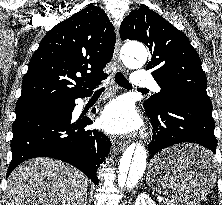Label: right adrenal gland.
I'll list each match as a JSON object with an SVG mask.
<instances>
[{
    "instance_id": "obj_1",
    "label": "right adrenal gland",
    "mask_w": 222,
    "mask_h": 205,
    "mask_svg": "<svg viewBox=\"0 0 222 205\" xmlns=\"http://www.w3.org/2000/svg\"><path fill=\"white\" fill-rule=\"evenodd\" d=\"M83 205H87V195H86V197H85V199H84Z\"/></svg>"
}]
</instances>
